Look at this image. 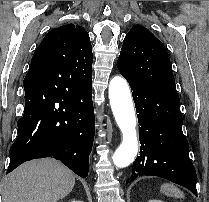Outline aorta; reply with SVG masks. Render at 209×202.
<instances>
[{"label":"aorta","instance_id":"obj_1","mask_svg":"<svg viewBox=\"0 0 209 202\" xmlns=\"http://www.w3.org/2000/svg\"><path fill=\"white\" fill-rule=\"evenodd\" d=\"M110 105L116 123L122 133V142L112 159L116 167L130 165L138 152L136 114L127 81L115 76L109 84Z\"/></svg>","mask_w":209,"mask_h":202}]
</instances>
